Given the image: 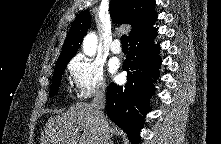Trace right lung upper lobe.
Segmentation results:
<instances>
[{"label": "right lung upper lobe", "instance_id": "1", "mask_svg": "<svg viewBox=\"0 0 221 144\" xmlns=\"http://www.w3.org/2000/svg\"><path fill=\"white\" fill-rule=\"evenodd\" d=\"M154 6L155 0H111L110 14L114 22L132 26L130 40L153 26L157 19ZM89 25V12H81L70 28L56 65L68 63L75 55Z\"/></svg>", "mask_w": 221, "mask_h": 144}]
</instances>
